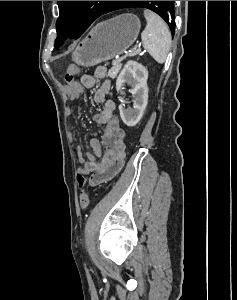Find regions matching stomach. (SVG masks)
Wrapping results in <instances>:
<instances>
[{"label":"stomach","mask_w":237,"mask_h":300,"mask_svg":"<svg viewBox=\"0 0 237 300\" xmlns=\"http://www.w3.org/2000/svg\"><path fill=\"white\" fill-rule=\"evenodd\" d=\"M141 23L132 13L98 23L72 53V61L81 67H94L122 55L136 41Z\"/></svg>","instance_id":"0dacf381"}]
</instances>
